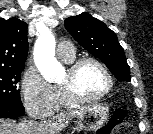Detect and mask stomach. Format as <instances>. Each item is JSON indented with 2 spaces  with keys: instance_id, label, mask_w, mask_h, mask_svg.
Segmentation results:
<instances>
[{
  "instance_id": "stomach-1",
  "label": "stomach",
  "mask_w": 153,
  "mask_h": 134,
  "mask_svg": "<svg viewBox=\"0 0 153 134\" xmlns=\"http://www.w3.org/2000/svg\"><path fill=\"white\" fill-rule=\"evenodd\" d=\"M108 119L107 106L95 103L82 108L80 114L77 116L78 129L85 131H96Z\"/></svg>"
}]
</instances>
